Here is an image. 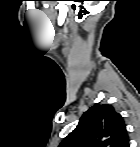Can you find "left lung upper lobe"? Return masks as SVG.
I'll return each mask as SVG.
<instances>
[{"label": "left lung upper lobe", "instance_id": "left-lung-upper-lobe-1", "mask_svg": "<svg viewBox=\"0 0 140 147\" xmlns=\"http://www.w3.org/2000/svg\"><path fill=\"white\" fill-rule=\"evenodd\" d=\"M60 147H129L126 124L113 106L94 105Z\"/></svg>", "mask_w": 140, "mask_h": 147}]
</instances>
